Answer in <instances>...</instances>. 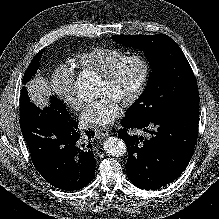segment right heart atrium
I'll use <instances>...</instances> for the list:
<instances>
[{
  "instance_id": "right-heart-atrium-1",
  "label": "right heart atrium",
  "mask_w": 219,
  "mask_h": 219,
  "mask_svg": "<svg viewBox=\"0 0 219 219\" xmlns=\"http://www.w3.org/2000/svg\"><path fill=\"white\" fill-rule=\"evenodd\" d=\"M74 82V73L70 69L60 66L52 73L50 86L66 106L74 110H80L83 107V101L75 94Z\"/></svg>"
}]
</instances>
